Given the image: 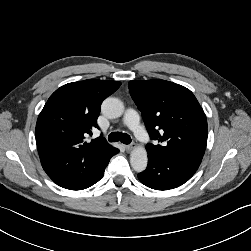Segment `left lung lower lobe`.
<instances>
[{
  "mask_svg": "<svg viewBox=\"0 0 251 251\" xmlns=\"http://www.w3.org/2000/svg\"><path fill=\"white\" fill-rule=\"evenodd\" d=\"M199 165L192 162L148 154L147 169L138 174L139 180L156 190L176 188L188 181Z\"/></svg>",
  "mask_w": 251,
  "mask_h": 251,
  "instance_id": "0a47b994",
  "label": "left lung lower lobe"
}]
</instances>
